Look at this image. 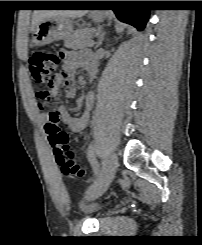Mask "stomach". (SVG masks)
I'll list each match as a JSON object with an SVG mask.
<instances>
[{
	"label": "stomach",
	"instance_id": "0dacf381",
	"mask_svg": "<svg viewBox=\"0 0 202 245\" xmlns=\"http://www.w3.org/2000/svg\"><path fill=\"white\" fill-rule=\"evenodd\" d=\"M90 17L95 22H102L104 12L94 11ZM73 32V20L64 17H47L33 30L32 43L36 47L48 45L56 40L67 39Z\"/></svg>",
	"mask_w": 202,
	"mask_h": 245
}]
</instances>
